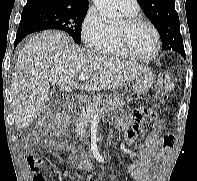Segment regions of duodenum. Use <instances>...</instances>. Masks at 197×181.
<instances>
[{
    "instance_id": "duodenum-1",
    "label": "duodenum",
    "mask_w": 197,
    "mask_h": 181,
    "mask_svg": "<svg viewBox=\"0 0 197 181\" xmlns=\"http://www.w3.org/2000/svg\"><path fill=\"white\" fill-rule=\"evenodd\" d=\"M81 104L78 100H72L69 105V109L72 113H77L80 111Z\"/></svg>"
}]
</instances>
